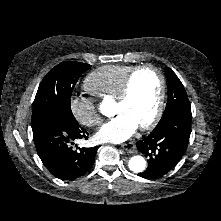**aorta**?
<instances>
[{
    "label": "aorta",
    "mask_w": 221,
    "mask_h": 221,
    "mask_svg": "<svg viewBox=\"0 0 221 221\" xmlns=\"http://www.w3.org/2000/svg\"><path fill=\"white\" fill-rule=\"evenodd\" d=\"M129 169L135 173L142 172L146 167V161L142 156H133L128 163Z\"/></svg>",
    "instance_id": "obj_1"
}]
</instances>
